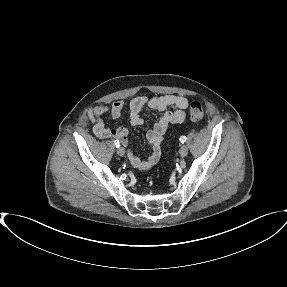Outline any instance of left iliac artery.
Wrapping results in <instances>:
<instances>
[{
	"instance_id": "44dca946",
	"label": "left iliac artery",
	"mask_w": 287,
	"mask_h": 287,
	"mask_svg": "<svg viewBox=\"0 0 287 287\" xmlns=\"http://www.w3.org/2000/svg\"><path fill=\"white\" fill-rule=\"evenodd\" d=\"M186 139H187L186 136H181L179 140L181 143H184L186 142Z\"/></svg>"
}]
</instances>
